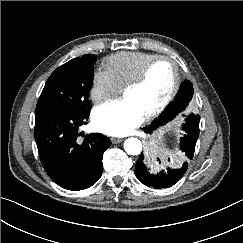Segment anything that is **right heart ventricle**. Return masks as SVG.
<instances>
[{
    "instance_id": "1",
    "label": "right heart ventricle",
    "mask_w": 243,
    "mask_h": 243,
    "mask_svg": "<svg viewBox=\"0 0 243 243\" xmlns=\"http://www.w3.org/2000/svg\"><path fill=\"white\" fill-rule=\"evenodd\" d=\"M155 57H157L156 54L146 52H118L104 60V67L118 85L124 88Z\"/></svg>"
}]
</instances>
